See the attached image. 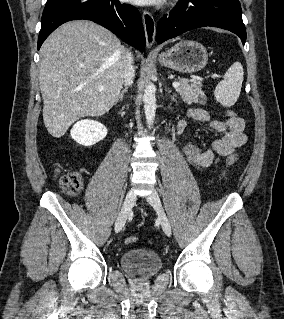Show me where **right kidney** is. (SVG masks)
Instances as JSON below:
<instances>
[{"instance_id":"obj_1","label":"right kidney","mask_w":284,"mask_h":319,"mask_svg":"<svg viewBox=\"0 0 284 319\" xmlns=\"http://www.w3.org/2000/svg\"><path fill=\"white\" fill-rule=\"evenodd\" d=\"M70 135L78 144L92 146L106 137L107 128L98 121L85 119L73 126Z\"/></svg>"}]
</instances>
